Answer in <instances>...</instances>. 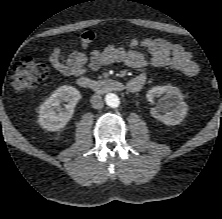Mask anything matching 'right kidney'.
<instances>
[{
	"mask_svg": "<svg viewBox=\"0 0 222 219\" xmlns=\"http://www.w3.org/2000/svg\"><path fill=\"white\" fill-rule=\"evenodd\" d=\"M80 99L81 94L75 87L64 85L57 88L40 106L38 119L40 126L48 131H57L65 127ZM62 102H67L65 108L60 106Z\"/></svg>",
	"mask_w": 222,
	"mask_h": 219,
	"instance_id": "1",
	"label": "right kidney"
}]
</instances>
